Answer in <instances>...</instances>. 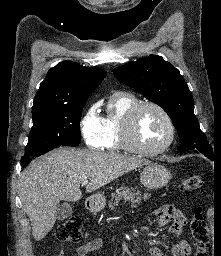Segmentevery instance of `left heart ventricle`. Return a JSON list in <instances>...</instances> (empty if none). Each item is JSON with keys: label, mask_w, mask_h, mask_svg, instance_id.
Instances as JSON below:
<instances>
[{"label": "left heart ventricle", "mask_w": 221, "mask_h": 256, "mask_svg": "<svg viewBox=\"0 0 221 256\" xmlns=\"http://www.w3.org/2000/svg\"><path fill=\"white\" fill-rule=\"evenodd\" d=\"M136 135L143 146L147 148L159 147L168 137L166 120L156 109L146 107L138 115Z\"/></svg>", "instance_id": "obj_1"}]
</instances>
